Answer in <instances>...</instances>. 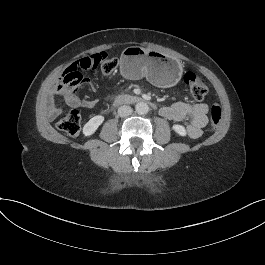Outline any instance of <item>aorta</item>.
<instances>
[{"mask_svg": "<svg viewBox=\"0 0 265 265\" xmlns=\"http://www.w3.org/2000/svg\"><path fill=\"white\" fill-rule=\"evenodd\" d=\"M135 110L139 115H145L149 111V106L145 102H139L136 104Z\"/></svg>", "mask_w": 265, "mask_h": 265, "instance_id": "762f6f07", "label": "aorta"}]
</instances>
